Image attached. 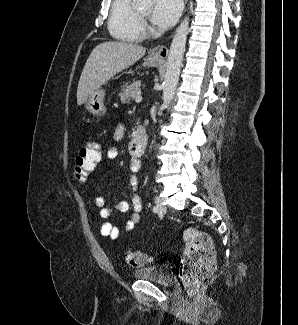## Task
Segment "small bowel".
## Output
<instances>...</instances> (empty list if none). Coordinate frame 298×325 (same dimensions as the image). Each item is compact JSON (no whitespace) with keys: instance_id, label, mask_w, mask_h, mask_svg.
<instances>
[{"instance_id":"1","label":"small bowel","mask_w":298,"mask_h":325,"mask_svg":"<svg viewBox=\"0 0 298 325\" xmlns=\"http://www.w3.org/2000/svg\"><path fill=\"white\" fill-rule=\"evenodd\" d=\"M124 135V126L122 124L118 125L114 132V140L118 141L120 140ZM118 155L117 148L115 146H110L106 150V157L110 160L115 159ZM130 170L133 173L130 177L129 183L133 190V195L131 199V203L129 204L126 201L118 202L112 206H106L105 198L102 195H97L94 198V204L96 207L100 209V216L104 219H107L111 216V214L114 211H118L120 213H128L130 208L132 209L131 213H129L127 220L125 222V225L123 229L119 228L118 226L106 222L104 223L100 228V234L101 236L108 238L110 240H116L122 230L124 232H131L137 223L140 220V213L142 211V201L138 194L136 193L137 190V178L135 174L140 170V160L136 158H131L130 160Z\"/></svg>"}]
</instances>
